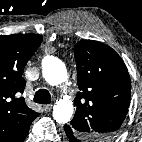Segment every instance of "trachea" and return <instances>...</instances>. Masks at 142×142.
I'll use <instances>...</instances> for the list:
<instances>
[{
    "label": "trachea",
    "mask_w": 142,
    "mask_h": 142,
    "mask_svg": "<svg viewBox=\"0 0 142 142\" xmlns=\"http://www.w3.org/2000/svg\"><path fill=\"white\" fill-rule=\"evenodd\" d=\"M34 102L39 104H49L51 102V95L46 89H39L34 96Z\"/></svg>",
    "instance_id": "3493384b"
}]
</instances>
